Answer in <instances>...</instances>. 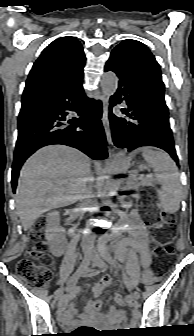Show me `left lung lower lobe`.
<instances>
[{"instance_id": "obj_1", "label": "left lung lower lobe", "mask_w": 194, "mask_h": 336, "mask_svg": "<svg viewBox=\"0 0 194 336\" xmlns=\"http://www.w3.org/2000/svg\"><path fill=\"white\" fill-rule=\"evenodd\" d=\"M105 71H113L119 78L118 90L110 99L109 118L114 144L129 152L142 146L158 147L178 164L164 98L149 88L118 53H111ZM122 101L128 106L122 110L125 116H115L111 110Z\"/></svg>"}]
</instances>
